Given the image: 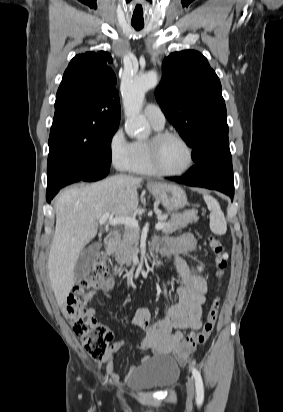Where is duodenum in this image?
Returning a JSON list of instances; mask_svg holds the SVG:
<instances>
[{"label": "duodenum", "instance_id": "1", "mask_svg": "<svg viewBox=\"0 0 283 412\" xmlns=\"http://www.w3.org/2000/svg\"><path fill=\"white\" fill-rule=\"evenodd\" d=\"M118 237H119V231L116 230V229L111 230L109 232V234L107 235V237L105 239V242H104L105 253L107 255H111V253L113 252V249H114V246L117 242ZM153 248L158 250V251L162 250V251H165V252H169L171 250L170 247H163V248L159 249L158 247L155 246L154 242H153ZM113 272L115 274H117L118 270L114 269Z\"/></svg>", "mask_w": 283, "mask_h": 412}]
</instances>
